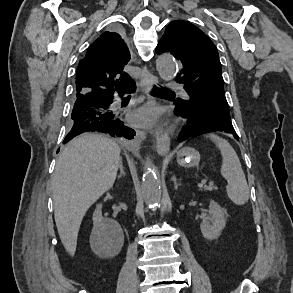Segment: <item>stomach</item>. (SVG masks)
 Here are the masks:
<instances>
[{
	"mask_svg": "<svg viewBox=\"0 0 293 293\" xmlns=\"http://www.w3.org/2000/svg\"><path fill=\"white\" fill-rule=\"evenodd\" d=\"M200 154L197 150L191 147H185L177 152V163L182 167L198 166Z\"/></svg>",
	"mask_w": 293,
	"mask_h": 293,
	"instance_id": "0dacf381",
	"label": "stomach"
}]
</instances>
